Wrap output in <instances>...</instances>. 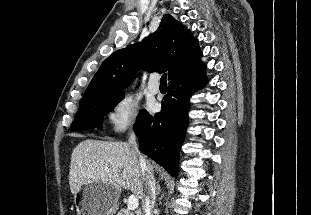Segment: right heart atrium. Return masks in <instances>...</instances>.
Wrapping results in <instances>:
<instances>
[{
  "mask_svg": "<svg viewBox=\"0 0 311 215\" xmlns=\"http://www.w3.org/2000/svg\"><path fill=\"white\" fill-rule=\"evenodd\" d=\"M139 103L129 94L121 97L108 114L111 129L115 134L132 131L139 114Z\"/></svg>",
  "mask_w": 311,
  "mask_h": 215,
  "instance_id": "d8ad5b80",
  "label": "right heart atrium"
}]
</instances>
